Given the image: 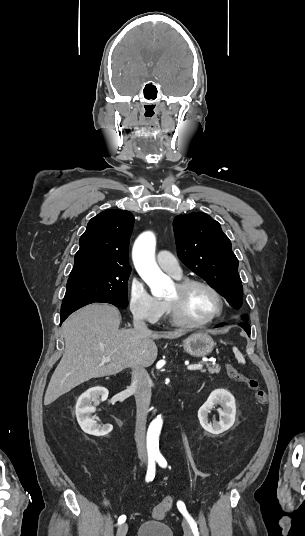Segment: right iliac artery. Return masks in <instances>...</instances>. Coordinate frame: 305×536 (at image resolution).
<instances>
[{
    "instance_id": "82829eb1",
    "label": "right iliac artery",
    "mask_w": 305,
    "mask_h": 536,
    "mask_svg": "<svg viewBox=\"0 0 305 536\" xmlns=\"http://www.w3.org/2000/svg\"><path fill=\"white\" fill-rule=\"evenodd\" d=\"M155 461L156 458H150L148 461V470L146 475V482L152 481L155 477ZM126 520L125 515H121L118 519V524L124 523Z\"/></svg>"
}]
</instances>
